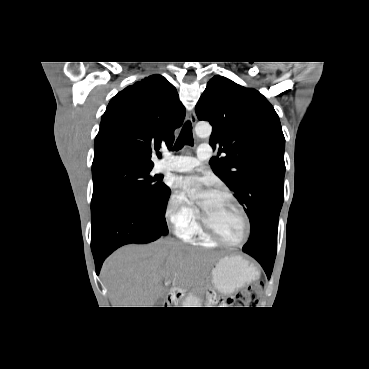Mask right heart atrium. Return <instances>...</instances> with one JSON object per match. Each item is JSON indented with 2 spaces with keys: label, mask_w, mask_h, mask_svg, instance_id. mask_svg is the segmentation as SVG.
Segmentation results:
<instances>
[{
  "label": "right heart atrium",
  "mask_w": 369,
  "mask_h": 369,
  "mask_svg": "<svg viewBox=\"0 0 369 369\" xmlns=\"http://www.w3.org/2000/svg\"><path fill=\"white\" fill-rule=\"evenodd\" d=\"M166 217L174 229L182 235L189 234L197 224L196 209L177 192H173L167 201Z\"/></svg>",
  "instance_id": "right-heart-atrium-1"
}]
</instances>
